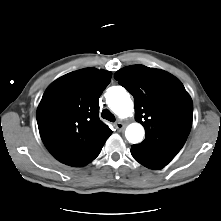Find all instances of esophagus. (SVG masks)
I'll use <instances>...</instances> for the list:
<instances>
[{
    "instance_id": "obj_1",
    "label": "esophagus",
    "mask_w": 221,
    "mask_h": 221,
    "mask_svg": "<svg viewBox=\"0 0 221 221\" xmlns=\"http://www.w3.org/2000/svg\"><path fill=\"white\" fill-rule=\"evenodd\" d=\"M114 126L119 131L125 128V125L119 120L114 124Z\"/></svg>"
}]
</instances>
